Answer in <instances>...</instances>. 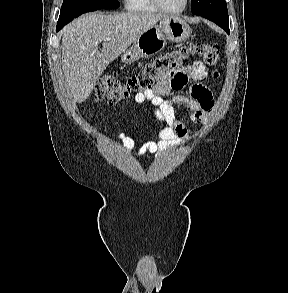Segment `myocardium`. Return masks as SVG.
I'll return each mask as SVG.
<instances>
[{
    "instance_id": "1",
    "label": "myocardium",
    "mask_w": 288,
    "mask_h": 293,
    "mask_svg": "<svg viewBox=\"0 0 288 293\" xmlns=\"http://www.w3.org/2000/svg\"><path fill=\"white\" fill-rule=\"evenodd\" d=\"M156 8L162 12L168 13V14H180L182 13L188 5L189 0H184L183 4L180 8L178 9H169L165 7L160 0H152Z\"/></svg>"
}]
</instances>
